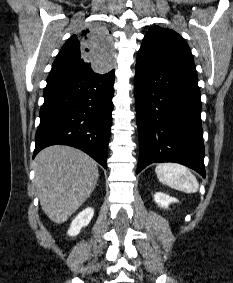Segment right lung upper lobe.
Here are the masks:
<instances>
[{
  "label": "right lung upper lobe",
  "instance_id": "cb5924a9",
  "mask_svg": "<svg viewBox=\"0 0 233 283\" xmlns=\"http://www.w3.org/2000/svg\"><path fill=\"white\" fill-rule=\"evenodd\" d=\"M115 38L105 27L84 28L71 36L55 58L50 74L82 70H112Z\"/></svg>",
  "mask_w": 233,
  "mask_h": 283
}]
</instances>
